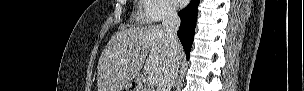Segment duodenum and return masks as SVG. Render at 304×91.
<instances>
[{
	"label": "duodenum",
	"instance_id": "1",
	"mask_svg": "<svg viewBox=\"0 0 304 91\" xmlns=\"http://www.w3.org/2000/svg\"><path fill=\"white\" fill-rule=\"evenodd\" d=\"M131 90L132 91H145V89L142 87V85L140 83H132Z\"/></svg>",
	"mask_w": 304,
	"mask_h": 91
}]
</instances>
